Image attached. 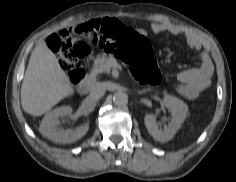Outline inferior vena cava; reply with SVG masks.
Wrapping results in <instances>:
<instances>
[{
	"label": "inferior vena cava",
	"instance_id": "602c4592",
	"mask_svg": "<svg viewBox=\"0 0 236 182\" xmlns=\"http://www.w3.org/2000/svg\"><path fill=\"white\" fill-rule=\"evenodd\" d=\"M105 91H106L105 84L102 82H97L92 85L90 90V96L94 99H99L104 95Z\"/></svg>",
	"mask_w": 236,
	"mask_h": 182
}]
</instances>
